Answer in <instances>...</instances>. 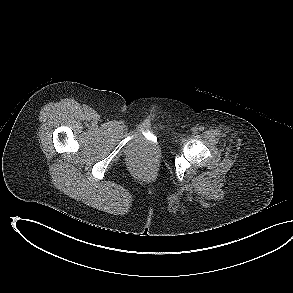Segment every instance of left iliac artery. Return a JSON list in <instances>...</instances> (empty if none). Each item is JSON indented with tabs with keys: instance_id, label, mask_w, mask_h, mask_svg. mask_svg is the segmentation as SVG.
Returning a JSON list of instances; mask_svg holds the SVG:
<instances>
[{
	"instance_id": "obj_1",
	"label": "left iliac artery",
	"mask_w": 293,
	"mask_h": 293,
	"mask_svg": "<svg viewBox=\"0 0 293 293\" xmlns=\"http://www.w3.org/2000/svg\"><path fill=\"white\" fill-rule=\"evenodd\" d=\"M204 129H205L204 126H200V127H199V130H200V131H203Z\"/></svg>"
}]
</instances>
